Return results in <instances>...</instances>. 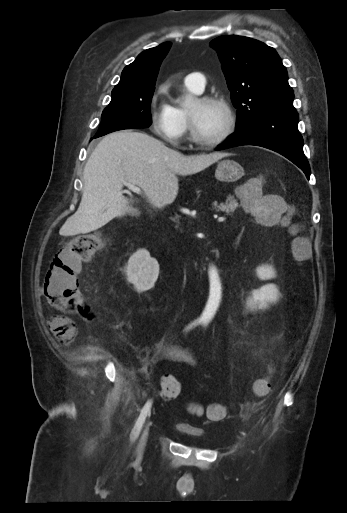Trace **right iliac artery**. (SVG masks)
I'll list each match as a JSON object with an SVG mask.
<instances>
[{
	"instance_id": "82829eb1",
	"label": "right iliac artery",
	"mask_w": 347,
	"mask_h": 513,
	"mask_svg": "<svg viewBox=\"0 0 347 513\" xmlns=\"http://www.w3.org/2000/svg\"><path fill=\"white\" fill-rule=\"evenodd\" d=\"M197 324H198V322H194L191 325H189L187 327V329H190L192 326H195ZM151 405H152V402H151V400H149L144 405V407L141 409L140 415H139V417H138V419H137V421L135 423V426H134V428H133V430H132V432L130 434L131 441H135L138 438L139 433H140V431L142 429V426H143V424L145 422V419L147 417V414L150 412Z\"/></svg>"
}]
</instances>
